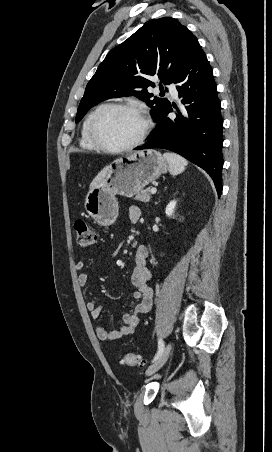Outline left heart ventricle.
Masks as SVG:
<instances>
[{
	"label": "left heart ventricle",
	"instance_id": "left-heart-ventricle-1",
	"mask_svg": "<svg viewBox=\"0 0 272 452\" xmlns=\"http://www.w3.org/2000/svg\"><path fill=\"white\" fill-rule=\"evenodd\" d=\"M142 130L141 119L132 112L111 109L102 113L96 122L100 138L112 146H123L134 141Z\"/></svg>",
	"mask_w": 272,
	"mask_h": 452
}]
</instances>
